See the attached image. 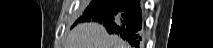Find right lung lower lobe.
I'll return each instance as SVG.
<instances>
[{
	"instance_id": "1",
	"label": "right lung lower lobe",
	"mask_w": 213,
	"mask_h": 48,
	"mask_svg": "<svg viewBox=\"0 0 213 48\" xmlns=\"http://www.w3.org/2000/svg\"><path fill=\"white\" fill-rule=\"evenodd\" d=\"M138 0H93L78 21H96L110 34L118 35L131 46H138L141 9Z\"/></svg>"
}]
</instances>
